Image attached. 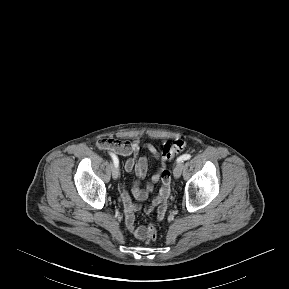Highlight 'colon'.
<instances>
[{
  "instance_id": "colon-1",
  "label": "colon",
  "mask_w": 289,
  "mask_h": 289,
  "mask_svg": "<svg viewBox=\"0 0 289 289\" xmlns=\"http://www.w3.org/2000/svg\"><path fill=\"white\" fill-rule=\"evenodd\" d=\"M185 147H186V142L181 139H177L171 144L164 145V147L162 148V152H161L162 157L166 160H170L176 154L184 150ZM156 238H157V231L152 224H149V226L147 227V239L146 240L155 241Z\"/></svg>"
}]
</instances>
